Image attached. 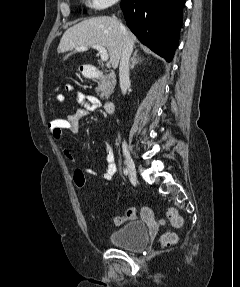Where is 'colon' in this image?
I'll list each match as a JSON object with an SVG mask.
<instances>
[{"instance_id": "obj_1", "label": "colon", "mask_w": 240, "mask_h": 287, "mask_svg": "<svg viewBox=\"0 0 240 287\" xmlns=\"http://www.w3.org/2000/svg\"><path fill=\"white\" fill-rule=\"evenodd\" d=\"M49 128L52 135L56 138H61L66 133L68 128L67 119L64 117H57L49 122ZM74 183L79 189H83L86 186L85 175L81 170H76L73 175ZM136 218L135 208H129L125 212L124 216H119L114 218V224L117 226L122 225L126 221H132ZM167 218L170 223L179 227L182 224V219L174 208H169L167 210ZM177 242V236L173 232H167L163 234L160 238V243L163 247H169Z\"/></svg>"}]
</instances>
